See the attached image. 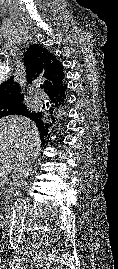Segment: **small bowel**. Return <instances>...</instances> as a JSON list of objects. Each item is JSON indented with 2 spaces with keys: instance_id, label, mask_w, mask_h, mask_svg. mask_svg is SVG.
<instances>
[{
  "instance_id": "small-bowel-1",
  "label": "small bowel",
  "mask_w": 118,
  "mask_h": 269,
  "mask_svg": "<svg viewBox=\"0 0 118 269\" xmlns=\"http://www.w3.org/2000/svg\"><path fill=\"white\" fill-rule=\"evenodd\" d=\"M0 263H1V258H0ZM0 269H5L4 267L0 266Z\"/></svg>"
}]
</instances>
